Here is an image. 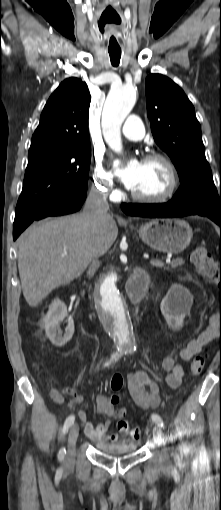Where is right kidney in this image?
<instances>
[{"label":"right kidney","mask_w":221,"mask_h":510,"mask_svg":"<svg viewBox=\"0 0 221 510\" xmlns=\"http://www.w3.org/2000/svg\"><path fill=\"white\" fill-rule=\"evenodd\" d=\"M67 317L68 312L66 305L60 299H55L49 306V310L43 318L46 336L49 338L51 343L57 347L64 346L71 340L74 334V322L71 317H68L67 328L62 336V331L60 330L59 325Z\"/></svg>","instance_id":"right-kidney-1"}]
</instances>
